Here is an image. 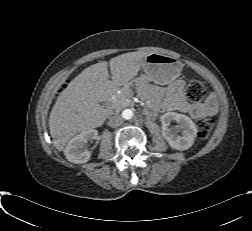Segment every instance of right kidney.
Masks as SVG:
<instances>
[{"label": "right kidney", "instance_id": "right-kidney-1", "mask_svg": "<svg viewBox=\"0 0 252 231\" xmlns=\"http://www.w3.org/2000/svg\"><path fill=\"white\" fill-rule=\"evenodd\" d=\"M98 135L96 130H88L80 133L70 140L64 153L68 161L72 163H85L90 157L91 153L84 145L91 139Z\"/></svg>", "mask_w": 252, "mask_h": 231}]
</instances>
